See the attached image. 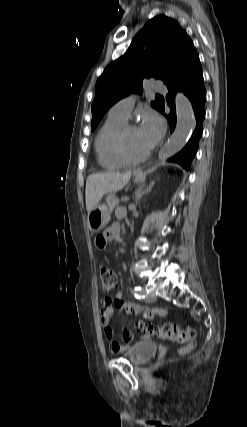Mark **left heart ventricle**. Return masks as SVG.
<instances>
[{
  "mask_svg": "<svg viewBox=\"0 0 247 427\" xmlns=\"http://www.w3.org/2000/svg\"><path fill=\"white\" fill-rule=\"evenodd\" d=\"M126 148L131 156L137 157L150 149L138 128L129 130L126 135Z\"/></svg>",
  "mask_w": 247,
  "mask_h": 427,
  "instance_id": "obj_1",
  "label": "left heart ventricle"
}]
</instances>
